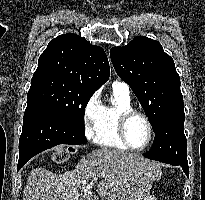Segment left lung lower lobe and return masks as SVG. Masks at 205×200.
Listing matches in <instances>:
<instances>
[{
	"label": "left lung lower lobe",
	"instance_id": "1",
	"mask_svg": "<svg viewBox=\"0 0 205 200\" xmlns=\"http://www.w3.org/2000/svg\"><path fill=\"white\" fill-rule=\"evenodd\" d=\"M184 120V107L166 114L155 131L152 148L145 156L160 162L181 166L189 177L187 141L183 130Z\"/></svg>",
	"mask_w": 205,
	"mask_h": 200
}]
</instances>
